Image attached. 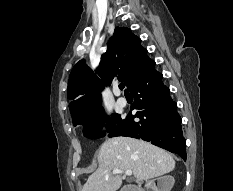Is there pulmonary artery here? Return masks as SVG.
Segmentation results:
<instances>
[{
  "label": "pulmonary artery",
  "instance_id": "1",
  "mask_svg": "<svg viewBox=\"0 0 233 191\" xmlns=\"http://www.w3.org/2000/svg\"><path fill=\"white\" fill-rule=\"evenodd\" d=\"M116 95H117V103H118V105L119 106H121V107H125L126 105H127V100H126V98L125 97H123V96H121V93H120V91L117 89L116 90Z\"/></svg>",
  "mask_w": 233,
  "mask_h": 191
}]
</instances>
